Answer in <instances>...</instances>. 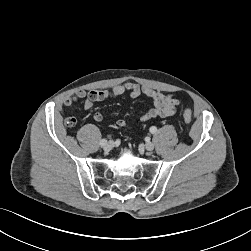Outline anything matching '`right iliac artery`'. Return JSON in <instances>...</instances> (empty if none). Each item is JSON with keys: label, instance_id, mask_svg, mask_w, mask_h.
I'll return each instance as SVG.
<instances>
[{"label": "right iliac artery", "instance_id": "right-iliac-artery-1", "mask_svg": "<svg viewBox=\"0 0 251 251\" xmlns=\"http://www.w3.org/2000/svg\"><path fill=\"white\" fill-rule=\"evenodd\" d=\"M107 144V140L106 139H102L101 141H100V145L101 146H105Z\"/></svg>", "mask_w": 251, "mask_h": 251}]
</instances>
